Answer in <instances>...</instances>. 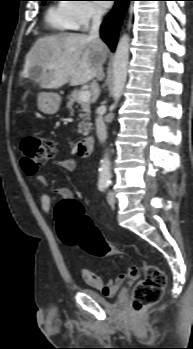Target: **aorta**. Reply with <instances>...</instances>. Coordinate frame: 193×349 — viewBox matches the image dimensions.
Returning a JSON list of instances; mask_svg holds the SVG:
<instances>
[{
  "label": "aorta",
  "instance_id": "1",
  "mask_svg": "<svg viewBox=\"0 0 193 349\" xmlns=\"http://www.w3.org/2000/svg\"><path fill=\"white\" fill-rule=\"evenodd\" d=\"M130 39L124 34L118 44L113 59V87L112 94L114 99L113 106H116L123 94L127 79L128 61H129ZM111 178L109 156L106 153L100 162L99 181L107 182Z\"/></svg>",
  "mask_w": 193,
  "mask_h": 349
}]
</instances>
